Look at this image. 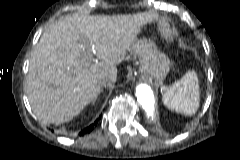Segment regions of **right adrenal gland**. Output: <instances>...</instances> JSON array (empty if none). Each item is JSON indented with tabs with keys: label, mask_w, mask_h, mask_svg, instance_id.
Segmentation results:
<instances>
[{
	"label": "right adrenal gland",
	"mask_w": 240,
	"mask_h": 160,
	"mask_svg": "<svg viewBox=\"0 0 240 160\" xmlns=\"http://www.w3.org/2000/svg\"><path fill=\"white\" fill-rule=\"evenodd\" d=\"M103 92V89L100 90L99 94ZM97 100V97L93 100V103Z\"/></svg>",
	"instance_id": "2a0ac1e0"
}]
</instances>
